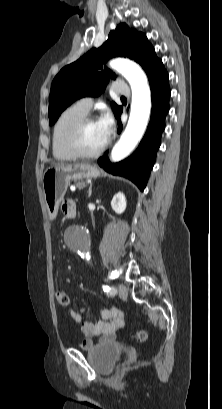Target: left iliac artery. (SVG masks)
<instances>
[{
    "instance_id": "1",
    "label": "left iliac artery",
    "mask_w": 222,
    "mask_h": 409,
    "mask_svg": "<svg viewBox=\"0 0 222 409\" xmlns=\"http://www.w3.org/2000/svg\"><path fill=\"white\" fill-rule=\"evenodd\" d=\"M102 289L104 292H106L109 295H115L117 293L116 288L108 286V285H103Z\"/></svg>"
}]
</instances>
